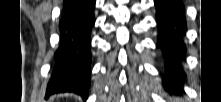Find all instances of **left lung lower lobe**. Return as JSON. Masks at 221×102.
Returning a JSON list of instances; mask_svg holds the SVG:
<instances>
[{
  "label": "left lung lower lobe",
  "instance_id": "1",
  "mask_svg": "<svg viewBox=\"0 0 221 102\" xmlns=\"http://www.w3.org/2000/svg\"><path fill=\"white\" fill-rule=\"evenodd\" d=\"M156 18L158 22L157 47L165 58V89L176 91L182 89L179 79L184 75L181 61L184 59L186 47L183 36L186 31V20L179 0H155Z\"/></svg>",
  "mask_w": 221,
  "mask_h": 102
}]
</instances>
